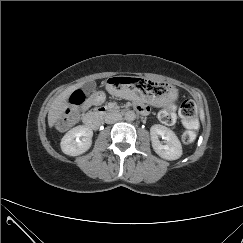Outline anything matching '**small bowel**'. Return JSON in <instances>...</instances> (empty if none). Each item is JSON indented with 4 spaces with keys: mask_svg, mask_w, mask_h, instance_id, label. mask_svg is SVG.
Returning a JSON list of instances; mask_svg holds the SVG:
<instances>
[{
    "mask_svg": "<svg viewBox=\"0 0 243 243\" xmlns=\"http://www.w3.org/2000/svg\"><path fill=\"white\" fill-rule=\"evenodd\" d=\"M105 100V95L101 92L93 94L89 100L87 101L86 105H98L101 104ZM136 108L141 112H147V108L142 104H137Z\"/></svg>",
    "mask_w": 243,
    "mask_h": 243,
    "instance_id": "1",
    "label": "small bowel"
}]
</instances>
